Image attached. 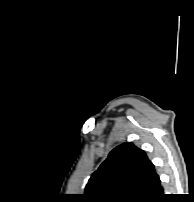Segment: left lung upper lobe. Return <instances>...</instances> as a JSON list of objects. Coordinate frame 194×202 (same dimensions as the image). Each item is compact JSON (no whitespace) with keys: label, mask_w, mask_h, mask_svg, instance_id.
Instances as JSON below:
<instances>
[{"label":"left lung upper lobe","mask_w":194,"mask_h":202,"mask_svg":"<svg viewBox=\"0 0 194 202\" xmlns=\"http://www.w3.org/2000/svg\"><path fill=\"white\" fill-rule=\"evenodd\" d=\"M160 187L145 152L127 142L113 149L93 173L84 198L87 202H152Z\"/></svg>","instance_id":"1"}]
</instances>
